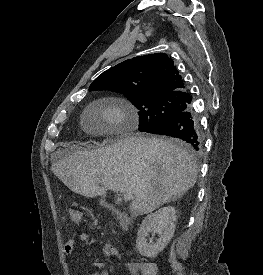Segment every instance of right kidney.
Returning a JSON list of instances; mask_svg holds the SVG:
<instances>
[{"label": "right kidney", "mask_w": 263, "mask_h": 275, "mask_svg": "<svg viewBox=\"0 0 263 275\" xmlns=\"http://www.w3.org/2000/svg\"><path fill=\"white\" fill-rule=\"evenodd\" d=\"M176 211L172 206L163 207L147 215L137 233L136 248L145 257L152 258L161 252L170 242L176 227ZM158 234L159 239L154 243L152 238L147 242L149 233Z\"/></svg>", "instance_id": "obj_1"}]
</instances>
